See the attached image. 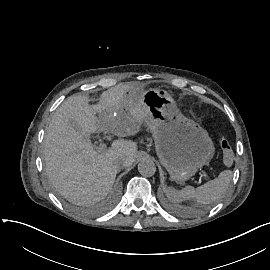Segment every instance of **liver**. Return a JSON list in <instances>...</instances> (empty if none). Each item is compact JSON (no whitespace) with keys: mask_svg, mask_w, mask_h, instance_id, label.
Here are the masks:
<instances>
[{"mask_svg":"<svg viewBox=\"0 0 270 270\" xmlns=\"http://www.w3.org/2000/svg\"><path fill=\"white\" fill-rule=\"evenodd\" d=\"M141 98L139 88L120 83L104 91L98 105H89L87 96L73 95L58 108L47 128L43 154L51 184L68 201L78 205L100 201L112 189L119 166L135 161L136 142L118 139L105 154H98L89 137L106 130L118 137L135 135L147 115ZM122 107L127 112L122 113Z\"/></svg>","mask_w":270,"mask_h":270,"instance_id":"6515ba94","label":"liver"}]
</instances>
